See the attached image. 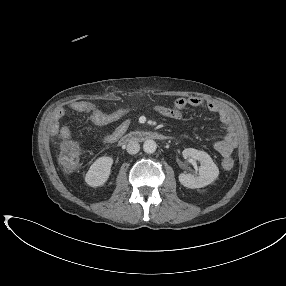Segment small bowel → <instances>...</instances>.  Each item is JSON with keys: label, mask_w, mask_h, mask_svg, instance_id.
<instances>
[{"label": "small bowel", "mask_w": 286, "mask_h": 286, "mask_svg": "<svg viewBox=\"0 0 286 286\" xmlns=\"http://www.w3.org/2000/svg\"><path fill=\"white\" fill-rule=\"evenodd\" d=\"M204 100L193 96L189 98H178L170 107L156 106L154 110L167 118L174 120H182V111L187 107H200L204 104ZM73 112L86 115L92 123L97 126H109L118 123L117 126L108 134L103 136L102 141L112 144L118 141L128 130L130 119L126 118L129 109L120 107L111 112L102 111L97 105L84 100L73 101L69 105ZM206 107L211 113L217 114L224 125L225 137L216 143L215 149L225 158H228L239 144V136L235 130L233 119L229 110L215 102H206ZM66 116L64 108H57L52 114L51 132L61 137L70 136V131L66 126L61 125V120Z\"/></svg>", "instance_id": "1"}]
</instances>
